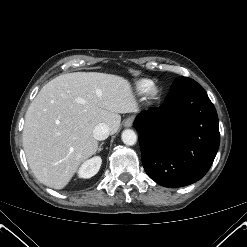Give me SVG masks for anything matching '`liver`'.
<instances>
[{
	"mask_svg": "<svg viewBox=\"0 0 247 247\" xmlns=\"http://www.w3.org/2000/svg\"><path fill=\"white\" fill-rule=\"evenodd\" d=\"M138 111L130 82L99 72L62 74L42 87L25 115L23 147L30 169L44 185L63 189L94 155L93 130L106 123L115 134L122 113Z\"/></svg>",
	"mask_w": 247,
	"mask_h": 247,
	"instance_id": "obj_1",
	"label": "liver"
}]
</instances>
